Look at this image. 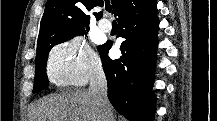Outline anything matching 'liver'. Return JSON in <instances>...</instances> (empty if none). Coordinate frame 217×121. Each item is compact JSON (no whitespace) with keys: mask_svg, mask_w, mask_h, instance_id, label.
<instances>
[{"mask_svg":"<svg viewBox=\"0 0 217 121\" xmlns=\"http://www.w3.org/2000/svg\"><path fill=\"white\" fill-rule=\"evenodd\" d=\"M113 113V109L111 106ZM30 121H102L100 109L88 91L45 97L32 111Z\"/></svg>","mask_w":217,"mask_h":121,"instance_id":"1","label":"liver"}]
</instances>
